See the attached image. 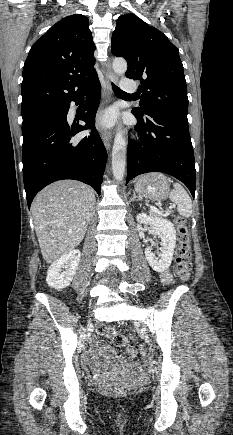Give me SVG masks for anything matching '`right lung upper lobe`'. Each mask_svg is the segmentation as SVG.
Here are the masks:
<instances>
[{
  "instance_id": "1",
  "label": "right lung upper lobe",
  "mask_w": 233,
  "mask_h": 435,
  "mask_svg": "<svg viewBox=\"0 0 233 435\" xmlns=\"http://www.w3.org/2000/svg\"><path fill=\"white\" fill-rule=\"evenodd\" d=\"M88 18L74 14L31 47L23 68L21 115L64 107L97 76Z\"/></svg>"
}]
</instances>
